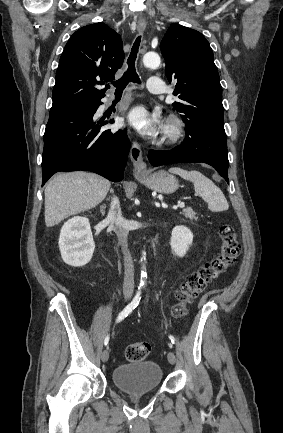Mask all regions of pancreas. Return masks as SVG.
<instances>
[{
    "instance_id": "obj_1",
    "label": "pancreas",
    "mask_w": 283,
    "mask_h": 433,
    "mask_svg": "<svg viewBox=\"0 0 283 433\" xmlns=\"http://www.w3.org/2000/svg\"><path fill=\"white\" fill-rule=\"evenodd\" d=\"M183 214H185V217H188V219H196L197 212H195L191 206H187V208H183Z\"/></svg>"
}]
</instances>
